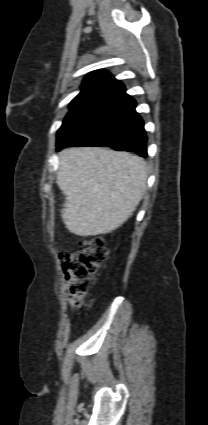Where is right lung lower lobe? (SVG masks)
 <instances>
[{"mask_svg": "<svg viewBox=\"0 0 208 425\" xmlns=\"http://www.w3.org/2000/svg\"><path fill=\"white\" fill-rule=\"evenodd\" d=\"M135 100L120 81L78 109L57 133V150L70 146H107L147 157V136Z\"/></svg>", "mask_w": 208, "mask_h": 425, "instance_id": "1", "label": "right lung lower lobe"}]
</instances>
